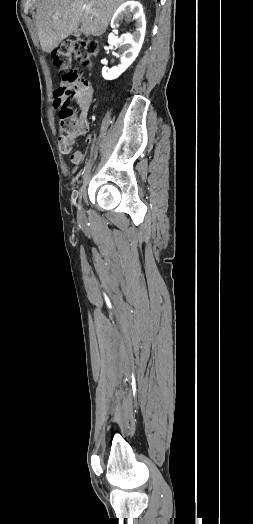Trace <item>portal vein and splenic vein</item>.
I'll return each instance as SVG.
<instances>
[{
    "label": "portal vein and splenic vein",
    "instance_id": "1",
    "mask_svg": "<svg viewBox=\"0 0 253 524\" xmlns=\"http://www.w3.org/2000/svg\"><path fill=\"white\" fill-rule=\"evenodd\" d=\"M84 10H85L86 13H92L93 15H97L96 12L92 11L91 6H89V5H85L84 6Z\"/></svg>",
    "mask_w": 253,
    "mask_h": 524
}]
</instances>
